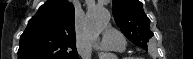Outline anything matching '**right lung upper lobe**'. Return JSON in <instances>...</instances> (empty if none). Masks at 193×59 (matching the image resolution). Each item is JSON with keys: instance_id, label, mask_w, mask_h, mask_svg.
Segmentation results:
<instances>
[{"instance_id": "cb5924a9", "label": "right lung upper lobe", "mask_w": 193, "mask_h": 59, "mask_svg": "<svg viewBox=\"0 0 193 59\" xmlns=\"http://www.w3.org/2000/svg\"><path fill=\"white\" fill-rule=\"evenodd\" d=\"M74 12L67 0L44 3L20 37L18 59H79Z\"/></svg>"}]
</instances>
